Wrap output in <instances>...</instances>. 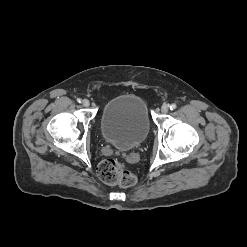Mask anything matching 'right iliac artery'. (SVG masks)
<instances>
[{"instance_id":"right-iliac-artery-1","label":"right iliac artery","mask_w":247,"mask_h":247,"mask_svg":"<svg viewBox=\"0 0 247 247\" xmlns=\"http://www.w3.org/2000/svg\"><path fill=\"white\" fill-rule=\"evenodd\" d=\"M81 101H82V100H81L80 98L77 99V102L81 103Z\"/></svg>"}]
</instances>
